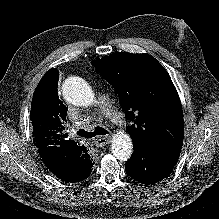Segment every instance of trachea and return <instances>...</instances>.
I'll return each instance as SVG.
<instances>
[{"instance_id":"3493384b","label":"trachea","mask_w":219,"mask_h":219,"mask_svg":"<svg viewBox=\"0 0 219 219\" xmlns=\"http://www.w3.org/2000/svg\"><path fill=\"white\" fill-rule=\"evenodd\" d=\"M109 132L103 128V127H94V131L93 132H88V131H85L84 129H80L77 134L80 136V137H83V138H92V137H95L97 135H106L108 134Z\"/></svg>"}]
</instances>
